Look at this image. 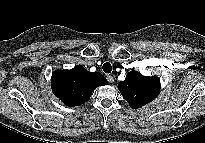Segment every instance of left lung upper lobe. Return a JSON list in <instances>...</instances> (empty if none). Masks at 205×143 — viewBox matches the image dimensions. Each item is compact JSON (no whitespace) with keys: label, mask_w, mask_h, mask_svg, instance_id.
<instances>
[{"label":"left lung upper lobe","mask_w":205,"mask_h":143,"mask_svg":"<svg viewBox=\"0 0 205 143\" xmlns=\"http://www.w3.org/2000/svg\"><path fill=\"white\" fill-rule=\"evenodd\" d=\"M118 89L133 109L142 107L156 98L160 92L158 77H147L137 71H131L124 81L119 82Z\"/></svg>","instance_id":"1"}]
</instances>
